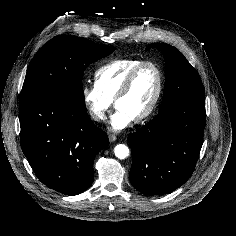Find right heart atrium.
<instances>
[{
	"label": "right heart atrium",
	"mask_w": 236,
	"mask_h": 236,
	"mask_svg": "<svg viewBox=\"0 0 236 236\" xmlns=\"http://www.w3.org/2000/svg\"><path fill=\"white\" fill-rule=\"evenodd\" d=\"M82 100L89 115L98 122L104 121L113 101L107 98L96 83H89L82 88Z\"/></svg>",
	"instance_id": "1"
}]
</instances>
